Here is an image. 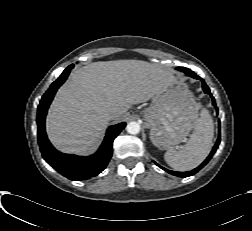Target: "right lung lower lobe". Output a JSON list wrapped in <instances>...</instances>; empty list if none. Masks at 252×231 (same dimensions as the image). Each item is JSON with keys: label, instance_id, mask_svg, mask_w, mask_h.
<instances>
[{"label": "right lung lower lobe", "instance_id": "obj_1", "mask_svg": "<svg viewBox=\"0 0 252 231\" xmlns=\"http://www.w3.org/2000/svg\"><path fill=\"white\" fill-rule=\"evenodd\" d=\"M73 67V64L68 66L42 96L37 110L38 143L45 161L60 174L71 180H85L98 175L106 168L112 156L113 141L126 123L109 127L99 150L89 157L63 154L51 145L45 132L46 113L57 89L65 82Z\"/></svg>", "mask_w": 252, "mask_h": 231}]
</instances>
